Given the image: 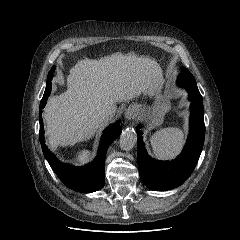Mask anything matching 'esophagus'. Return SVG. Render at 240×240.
<instances>
[{"mask_svg": "<svg viewBox=\"0 0 240 240\" xmlns=\"http://www.w3.org/2000/svg\"><path fill=\"white\" fill-rule=\"evenodd\" d=\"M135 117V110L134 109H128V111L125 113V118L127 120H131Z\"/></svg>", "mask_w": 240, "mask_h": 240, "instance_id": "obj_1", "label": "esophagus"}]
</instances>
